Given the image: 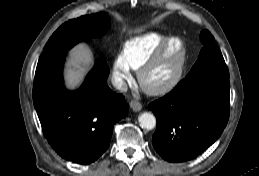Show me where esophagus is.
<instances>
[{
    "label": "esophagus",
    "mask_w": 259,
    "mask_h": 176,
    "mask_svg": "<svg viewBox=\"0 0 259 176\" xmlns=\"http://www.w3.org/2000/svg\"><path fill=\"white\" fill-rule=\"evenodd\" d=\"M130 107H131V109H132L133 111L138 112V111L141 110L142 105H141L140 102H138V101H136V100H131V102H130Z\"/></svg>",
    "instance_id": "obj_1"
}]
</instances>
